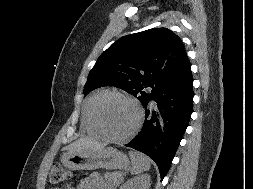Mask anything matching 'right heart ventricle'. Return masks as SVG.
<instances>
[{"instance_id": "e07e8e85", "label": "right heart ventricle", "mask_w": 253, "mask_h": 189, "mask_svg": "<svg viewBox=\"0 0 253 189\" xmlns=\"http://www.w3.org/2000/svg\"><path fill=\"white\" fill-rule=\"evenodd\" d=\"M103 92H106V91L97 92L94 95H92L90 98H88L86 102L84 103L83 109H82V126L89 135L96 136V137H100L102 135L92 123L90 109H91V105L94 99Z\"/></svg>"}]
</instances>
